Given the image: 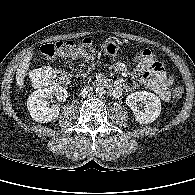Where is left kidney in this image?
I'll use <instances>...</instances> for the list:
<instances>
[{
  "label": "left kidney",
  "mask_w": 195,
  "mask_h": 195,
  "mask_svg": "<svg viewBox=\"0 0 195 195\" xmlns=\"http://www.w3.org/2000/svg\"><path fill=\"white\" fill-rule=\"evenodd\" d=\"M138 102L145 104L144 111L138 109ZM126 104L133 111L136 121L141 124L154 122L161 112V101L159 97L147 91L131 93L126 98Z\"/></svg>",
  "instance_id": "5707ae66"
}]
</instances>
